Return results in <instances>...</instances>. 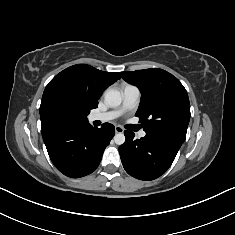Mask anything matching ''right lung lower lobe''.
<instances>
[{"instance_id": "obj_1", "label": "right lung lower lobe", "mask_w": 235, "mask_h": 235, "mask_svg": "<svg viewBox=\"0 0 235 235\" xmlns=\"http://www.w3.org/2000/svg\"><path fill=\"white\" fill-rule=\"evenodd\" d=\"M115 134L112 124L93 127L88 121L42 129V137L55 167L71 178L86 176L98 167Z\"/></svg>"}]
</instances>
